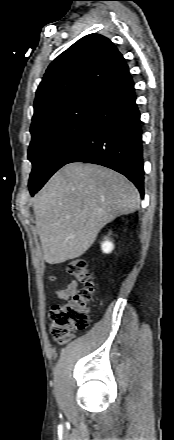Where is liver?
<instances>
[{
    "label": "liver",
    "instance_id": "1",
    "mask_svg": "<svg viewBox=\"0 0 174 440\" xmlns=\"http://www.w3.org/2000/svg\"><path fill=\"white\" fill-rule=\"evenodd\" d=\"M139 205L138 190L120 173L94 164L64 166L34 199L44 260L59 264L80 257L107 223Z\"/></svg>",
    "mask_w": 174,
    "mask_h": 440
}]
</instances>
